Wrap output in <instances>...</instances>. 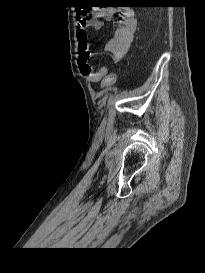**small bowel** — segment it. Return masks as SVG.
Listing matches in <instances>:
<instances>
[{
  "label": "small bowel",
  "instance_id": "small-bowel-1",
  "mask_svg": "<svg viewBox=\"0 0 205 273\" xmlns=\"http://www.w3.org/2000/svg\"><path fill=\"white\" fill-rule=\"evenodd\" d=\"M115 12L113 8L107 7L92 13L89 18L81 13L77 15L78 65L81 73L93 84L105 78L108 75V69L101 67L98 70H94L89 61L92 50L88 42V28H98L100 26L99 19L110 20ZM136 29L137 20L134 14L129 10L118 11V26L114 31L113 37L105 45V50L110 54L114 63H119L128 53Z\"/></svg>",
  "mask_w": 205,
  "mask_h": 273
}]
</instances>
